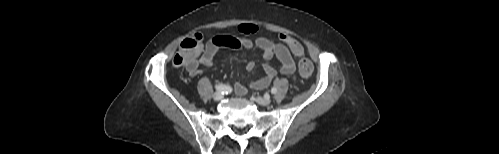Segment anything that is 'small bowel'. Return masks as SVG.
Listing matches in <instances>:
<instances>
[{"mask_svg": "<svg viewBox=\"0 0 499 154\" xmlns=\"http://www.w3.org/2000/svg\"><path fill=\"white\" fill-rule=\"evenodd\" d=\"M239 32L242 34H253L257 32V27L253 24H242L238 27ZM257 47L266 60L276 57L280 62V72L283 75L293 76L295 73V63L292 58L290 50L283 44L274 43L270 39L260 36L255 40L244 37L233 36H216L211 38L205 46V49L200 57L199 62L203 65L210 66L213 63L216 52L221 48H230L233 50L252 49ZM255 67L254 62L249 61L246 64V70L252 71ZM187 70L191 76H196L200 72L198 62L188 64ZM264 75L252 81L249 87L254 89H264L270 85L277 75V70L269 63L263 65ZM235 90L239 95L247 93V86L243 84H236Z\"/></svg>", "mask_w": 499, "mask_h": 154, "instance_id": "obj_1", "label": "small bowel"}]
</instances>
